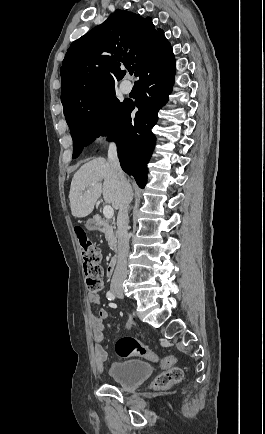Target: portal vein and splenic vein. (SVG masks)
Here are the masks:
<instances>
[{
	"label": "portal vein and splenic vein",
	"instance_id": "portal-vein-and-splenic-vein-1",
	"mask_svg": "<svg viewBox=\"0 0 265 434\" xmlns=\"http://www.w3.org/2000/svg\"><path fill=\"white\" fill-rule=\"evenodd\" d=\"M103 214L105 218H108V220H110V218H113L114 216V210L113 208H111V206H104Z\"/></svg>",
	"mask_w": 265,
	"mask_h": 434
}]
</instances>
